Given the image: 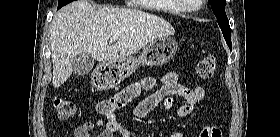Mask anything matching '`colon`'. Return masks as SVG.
I'll return each instance as SVG.
<instances>
[{
	"label": "colon",
	"mask_w": 280,
	"mask_h": 137,
	"mask_svg": "<svg viewBox=\"0 0 280 137\" xmlns=\"http://www.w3.org/2000/svg\"><path fill=\"white\" fill-rule=\"evenodd\" d=\"M196 74L201 79H209L216 73L217 60L213 55H208L201 59L196 65ZM123 101L130 102L134 96L127 91L120 94ZM53 108L59 119L66 120L75 114V105L64 97H56L53 100ZM200 137H221V131L218 128H211L200 133Z\"/></svg>",
	"instance_id": "obj_1"
}]
</instances>
